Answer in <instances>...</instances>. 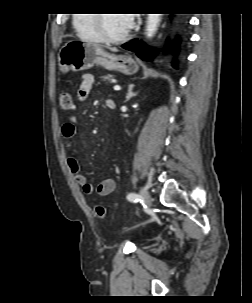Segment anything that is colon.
<instances>
[{"instance_id":"obj_1","label":"colon","mask_w":252,"mask_h":303,"mask_svg":"<svg viewBox=\"0 0 252 303\" xmlns=\"http://www.w3.org/2000/svg\"><path fill=\"white\" fill-rule=\"evenodd\" d=\"M60 107L63 111H70L73 109V99L69 92H62L59 98ZM95 216L99 219L106 217V209L103 204L96 203L94 205Z\"/></svg>"}]
</instances>
